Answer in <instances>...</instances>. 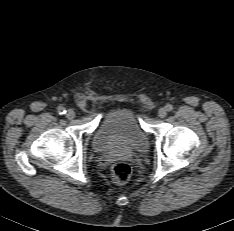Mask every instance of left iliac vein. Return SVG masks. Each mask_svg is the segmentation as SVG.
<instances>
[{
	"label": "left iliac vein",
	"instance_id": "4c4485c4",
	"mask_svg": "<svg viewBox=\"0 0 234 231\" xmlns=\"http://www.w3.org/2000/svg\"><path fill=\"white\" fill-rule=\"evenodd\" d=\"M167 115V110L166 108H160L159 111H158V116L160 118H165Z\"/></svg>",
	"mask_w": 234,
	"mask_h": 231
}]
</instances>
